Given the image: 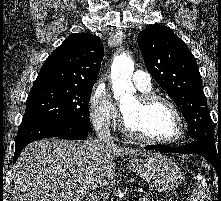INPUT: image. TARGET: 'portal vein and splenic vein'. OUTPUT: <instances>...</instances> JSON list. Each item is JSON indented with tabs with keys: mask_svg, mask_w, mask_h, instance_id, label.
<instances>
[{
	"mask_svg": "<svg viewBox=\"0 0 221 201\" xmlns=\"http://www.w3.org/2000/svg\"><path fill=\"white\" fill-rule=\"evenodd\" d=\"M141 200L142 201H149V199L147 197H144V196L141 198Z\"/></svg>",
	"mask_w": 221,
	"mask_h": 201,
	"instance_id": "18ae733b",
	"label": "portal vein and splenic vein"
}]
</instances>
